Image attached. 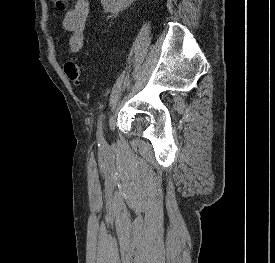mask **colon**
<instances>
[{
	"mask_svg": "<svg viewBox=\"0 0 275 263\" xmlns=\"http://www.w3.org/2000/svg\"><path fill=\"white\" fill-rule=\"evenodd\" d=\"M55 6L59 11H65L68 6V0H54ZM66 77L76 85H82L85 82L80 66L74 59H68L64 64Z\"/></svg>",
	"mask_w": 275,
	"mask_h": 263,
	"instance_id": "obj_1",
	"label": "colon"
}]
</instances>
